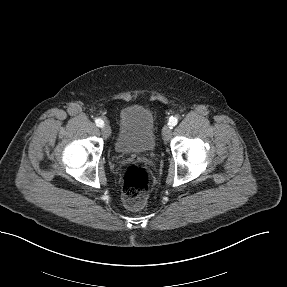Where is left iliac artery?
I'll list each match as a JSON object with an SVG mask.
<instances>
[{"label": "left iliac artery", "instance_id": "left-iliac-artery-1", "mask_svg": "<svg viewBox=\"0 0 287 287\" xmlns=\"http://www.w3.org/2000/svg\"><path fill=\"white\" fill-rule=\"evenodd\" d=\"M178 123V119L176 117H170L168 125H170V127L172 128L173 126L177 125Z\"/></svg>", "mask_w": 287, "mask_h": 287}]
</instances>
